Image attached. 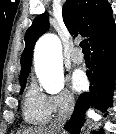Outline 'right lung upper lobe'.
<instances>
[{
	"instance_id": "cb5924a9",
	"label": "right lung upper lobe",
	"mask_w": 116,
	"mask_h": 134,
	"mask_svg": "<svg viewBox=\"0 0 116 134\" xmlns=\"http://www.w3.org/2000/svg\"><path fill=\"white\" fill-rule=\"evenodd\" d=\"M64 23L71 34L88 37L90 45L103 40L116 29L112 8L107 0H66L62 9ZM48 13L38 15L25 34V49L21 56L20 83L27 80L32 53L37 39L49 28Z\"/></svg>"
}]
</instances>
